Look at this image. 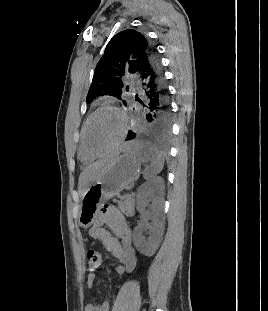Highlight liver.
Segmentation results:
<instances>
[{
  "mask_svg": "<svg viewBox=\"0 0 268 311\" xmlns=\"http://www.w3.org/2000/svg\"><path fill=\"white\" fill-rule=\"evenodd\" d=\"M114 158L100 160L86 168L80 175L79 185L85 191L86 186L97 179L109 166Z\"/></svg>",
  "mask_w": 268,
  "mask_h": 311,
  "instance_id": "liver-1",
  "label": "liver"
}]
</instances>
